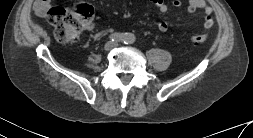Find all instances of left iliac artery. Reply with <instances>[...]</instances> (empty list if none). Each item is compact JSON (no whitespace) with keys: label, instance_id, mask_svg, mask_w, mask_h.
<instances>
[{"label":"left iliac artery","instance_id":"1","mask_svg":"<svg viewBox=\"0 0 253 138\" xmlns=\"http://www.w3.org/2000/svg\"><path fill=\"white\" fill-rule=\"evenodd\" d=\"M125 42H131V37L129 36V37H126L125 38Z\"/></svg>","mask_w":253,"mask_h":138}]
</instances>
